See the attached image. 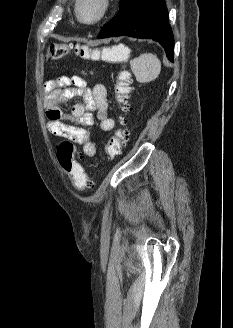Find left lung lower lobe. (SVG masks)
Listing matches in <instances>:
<instances>
[{
	"mask_svg": "<svg viewBox=\"0 0 233 328\" xmlns=\"http://www.w3.org/2000/svg\"><path fill=\"white\" fill-rule=\"evenodd\" d=\"M130 36L158 41L173 61L174 39L163 0H125L97 38Z\"/></svg>",
	"mask_w": 233,
	"mask_h": 328,
	"instance_id": "obj_1",
	"label": "left lung lower lobe"
}]
</instances>
